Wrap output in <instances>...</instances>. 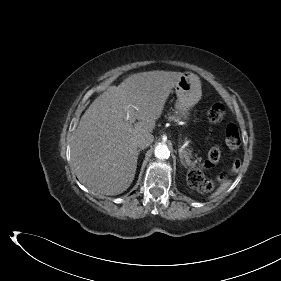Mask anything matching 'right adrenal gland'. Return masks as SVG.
Listing matches in <instances>:
<instances>
[{
  "label": "right adrenal gland",
  "instance_id": "right-adrenal-gland-1",
  "mask_svg": "<svg viewBox=\"0 0 281 281\" xmlns=\"http://www.w3.org/2000/svg\"><path fill=\"white\" fill-rule=\"evenodd\" d=\"M140 151H141V150L139 149V150H138V154L140 153Z\"/></svg>",
  "mask_w": 281,
  "mask_h": 281
}]
</instances>
